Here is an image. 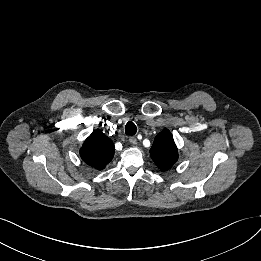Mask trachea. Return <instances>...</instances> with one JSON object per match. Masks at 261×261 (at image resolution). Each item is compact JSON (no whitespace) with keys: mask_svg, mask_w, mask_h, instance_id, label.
Segmentation results:
<instances>
[{"mask_svg":"<svg viewBox=\"0 0 261 261\" xmlns=\"http://www.w3.org/2000/svg\"><path fill=\"white\" fill-rule=\"evenodd\" d=\"M125 132L126 135H130V136L135 135L137 132L136 125L132 121H129L125 126Z\"/></svg>","mask_w":261,"mask_h":261,"instance_id":"obj_1","label":"trachea"}]
</instances>
